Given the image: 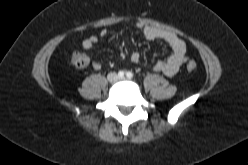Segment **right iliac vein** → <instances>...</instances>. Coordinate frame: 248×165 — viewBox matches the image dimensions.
<instances>
[{"label":"right iliac vein","instance_id":"obj_1","mask_svg":"<svg viewBox=\"0 0 248 165\" xmlns=\"http://www.w3.org/2000/svg\"><path fill=\"white\" fill-rule=\"evenodd\" d=\"M116 79H117L116 74H109V76H108L109 81L113 82V81H116Z\"/></svg>","mask_w":248,"mask_h":165}]
</instances>
